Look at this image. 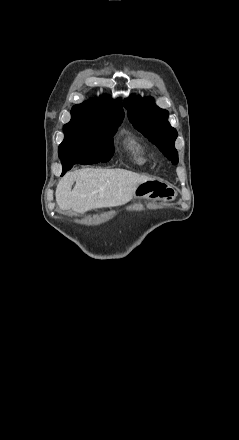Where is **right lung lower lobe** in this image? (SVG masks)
I'll list each match as a JSON object with an SVG mask.
<instances>
[{"instance_id": "1", "label": "right lung lower lobe", "mask_w": 239, "mask_h": 440, "mask_svg": "<svg viewBox=\"0 0 239 440\" xmlns=\"http://www.w3.org/2000/svg\"><path fill=\"white\" fill-rule=\"evenodd\" d=\"M114 150L90 147H70L59 151L63 173L75 164H93L107 162L113 156Z\"/></svg>"}]
</instances>
